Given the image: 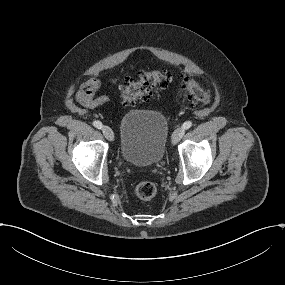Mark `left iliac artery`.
Listing matches in <instances>:
<instances>
[{"instance_id": "left-iliac-artery-1", "label": "left iliac artery", "mask_w": 285, "mask_h": 285, "mask_svg": "<svg viewBox=\"0 0 285 285\" xmlns=\"http://www.w3.org/2000/svg\"><path fill=\"white\" fill-rule=\"evenodd\" d=\"M192 126V122L191 121H186L184 124H183V129L187 130L189 129L190 127Z\"/></svg>"}]
</instances>
